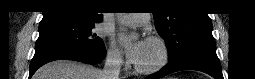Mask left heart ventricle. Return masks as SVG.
<instances>
[{
    "mask_svg": "<svg viewBox=\"0 0 255 79\" xmlns=\"http://www.w3.org/2000/svg\"><path fill=\"white\" fill-rule=\"evenodd\" d=\"M138 24H132L129 29H138ZM160 59V49L157 44L146 42L144 52L138 62L136 63L140 67L148 68L154 66Z\"/></svg>",
    "mask_w": 255,
    "mask_h": 79,
    "instance_id": "left-heart-ventricle-1",
    "label": "left heart ventricle"
}]
</instances>
